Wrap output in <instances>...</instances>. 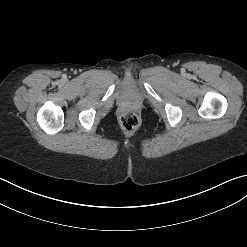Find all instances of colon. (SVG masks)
Returning <instances> with one entry per match:
<instances>
[{
	"label": "colon",
	"mask_w": 247,
	"mask_h": 247,
	"mask_svg": "<svg viewBox=\"0 0 247 247\" xmlns=\"http://www.w3.org/2000/svg\"><path fill=\"white\" fill-rule=\"evenodd\" d=\"M140 123L139 117L135 112L127 111L120 118V126L127 132L134 131Z\"/></svg>",
	"instance_id": "5ec220e1"
}]
</instances>
